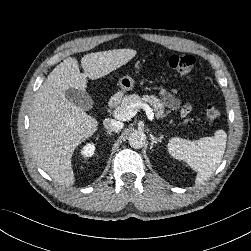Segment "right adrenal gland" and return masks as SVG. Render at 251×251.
<instances>
[{"label":"right adrenal gland","mask_w":251,"mask_h":251,"mask_svg":"<svg viewBox=\"0 0 251 251\" xmlns=\"http://www.w3.org/2000/svg\"><path fill=\"white\" fill-rule=\"evenodd\" d=\"M107 134L110 135V136L112 135V133L110 131H107Z\"/></svg>","instance_id":"right-adrenal-gland-1"}]
</instances>
